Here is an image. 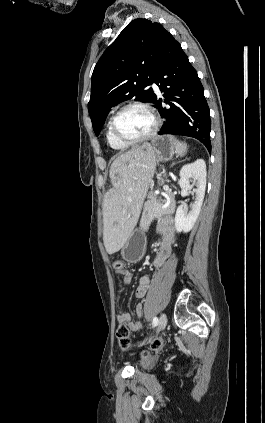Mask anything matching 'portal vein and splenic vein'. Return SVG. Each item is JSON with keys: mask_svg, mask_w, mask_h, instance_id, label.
<instances>
[{"mask_svg": "<svg viewBox=\"0 0 265 423\" xmlns=\"http://www.w3.org/2000/svg\"><path fill=\"white\" fill-rule=\"evenodd\" d=\"M163 189H164V191H165V192H167V191H169V186H168V185H164V186H163ZM167 205H168V203H166V204H165V205H163V206L157 207L156 209H157V210H160V209H162V208L166 207Z\"/></svg>", "mask_w": 265, "mask_h": 423, "instance_id": "18ae733b", "label": "portal vein and splenic vein"}]
</instances>
